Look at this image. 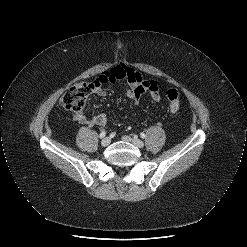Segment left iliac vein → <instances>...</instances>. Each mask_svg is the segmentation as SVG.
<instances>
[{"label": "left iliac vein", "mask_w": 247, "mask_h": 247, "mask_svg": "<svg viewBox=\"0 0 247 247\" xmlns=\"http://www.w3.org/2000/svg\"><path fill=\"white\" fill-rule=\"evenodd\" d=\"M122 139L126 142H130V143H133L135 146L139 147V148H142L144 147V142L137 139V138H132L130 136H123Z\"/></svg>", "instance_id": "obj_1"}]
</instances>
